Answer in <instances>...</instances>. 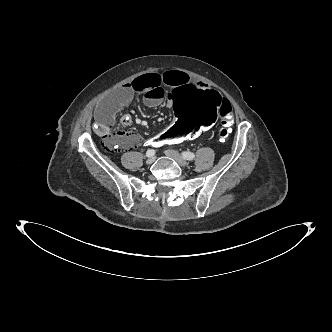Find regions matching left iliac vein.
Listing matches in <instances>:
<instances>
[{"instance_id":"left-iliac-vein-1","label":"left iliac vein","mask_w":332,"mask_h":332,"mask_svg":"<svg viewBox=\"0 0 332 332\" xmlns=\"http://www.w3.org/2000/svg\"><path fill=\"white\" fill-rule=\"evenodd\" d=\"M165 155L176 161L181 167L188 166V162L175 150H166Z\"/></svg>"}]
</instances>
